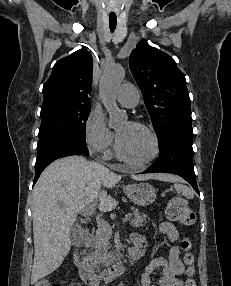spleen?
<instances>
[{
    "label": "spleen",
    "instance_id": "1",
    "mask_svg": "<svg viewBox=\"0 0 231 286\" xmlns=\"http://www.w3.org/2000/svg\"><path fill=\"white\" fill-rule=\"evenodd\" d=\"M174 188L178 194L183 195L187 199H192L194 197L193 191L189 187H187L186 185L179 183L178 180L174 181Z\"/></svg>",
    "mask_w": 231,
    "mask_h": 286
}]
</instances>
